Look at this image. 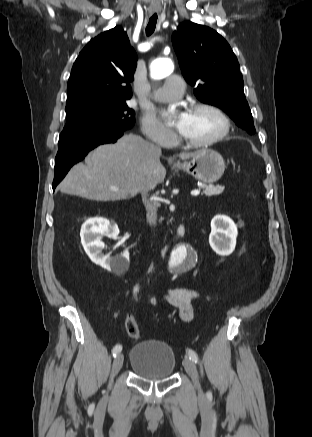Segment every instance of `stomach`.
Instances as JSON below:
<instances>
[{
	"label": "stomach",
	"instance_id": "stomach-1",
	"mask_svg": "<svg viewBox=\"0 0 312 437\" xmlns=\"http://www.w3.org/2000/svg\"><path fill=\"white\" fill-rule=\"evenodd\" d=\"M174 167L187 172L197 180L214 183L223 175L225 162L217 151L202 149L190 161L178 162Z\"/></svg>",
	"mask_w": 312,
	"mask_h": 437
}]
</instances>
